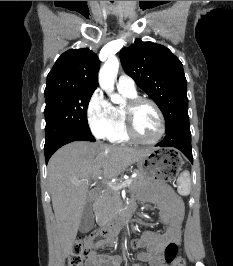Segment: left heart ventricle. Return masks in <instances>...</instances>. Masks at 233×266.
I'll list each match as a JSON object with an SVG mask.
<instances>
[{
  "instance_id": "1",
  "label": "left heart ventricle",
  "mask_w": 233,
  "mask_h": 266,
  "mask_svg": "<svg viewBox=\"0 0 233 266\" xmlns=\"http://www.w3.org/2000/svg\"><path fill=\"white\" fill-rule=\"evenodd\" d=\"M134 127L139 137L154 139L160 129V121L155 109L148 104L141 105L134 114Z\"/></svg>"
}]
</instances>
